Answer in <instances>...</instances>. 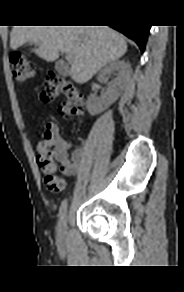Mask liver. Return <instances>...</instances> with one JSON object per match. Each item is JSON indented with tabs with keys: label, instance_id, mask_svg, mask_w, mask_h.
Segmentation results:
<instances>
[{
	"label": "liver",
	"instance_id": "6515ba94",
	"mask_svg": "<svg viewBox=\"0 0 184 292\" xmlns=\"http://www.w3.org/2000/svg\"><path fill=\"white\" fill-rule=\"evenodd\" d=\"M27 42L35 43L32 51L47 62L57 60L60 52L72 54L69 73L79 84L127 51L125 38L108 26H14L10 47Z\"/></svg>",
	"mask_w": 184,
	"mask_h": 292
}]
</instances>
